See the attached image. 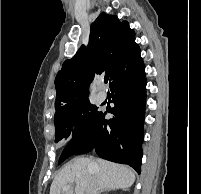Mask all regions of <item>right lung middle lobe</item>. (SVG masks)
Returning a JSON list of instances; mask_svg holds the SVG:
<instances>
[{"label": "right lung middle lobe", "instance_id": "right-lung-middle-lobe-1", "mask_svg": "<svg viewBox=\"0 0 201 194\" xmlns=\"http://www.w3.org/2000/svg\"><path fill=\"white\" fill-rule=\"evenodd\" d=\"M100 113L98 107L87 100L67 116L55 119V142L81 136L95 122ZM72 155V153H62L59 164Z\"/></svg>", "mask_w": 201, "mask_h": 194}]
</instances>
